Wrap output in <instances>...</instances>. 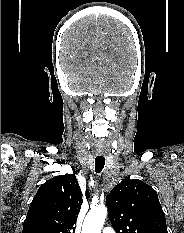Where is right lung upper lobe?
<instances>
[{
    "label": "right lung upper lobe",
    "mask_w": 184,
    "mask_h": 233,
    "mask_svg": "<svg viewBox=\"0 0 184 233\" xmlns=\"http://www.w3.org/2000/svg\"><path fill=\"white\" fill-rule=\"evenodd\" d=\"M82 196L74 174L53 177L34 196L22 233H73Z\"/></svg>",
    "instance_id": "1"
}]
</instances>
